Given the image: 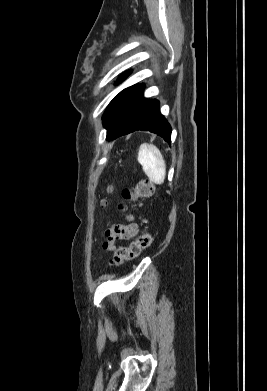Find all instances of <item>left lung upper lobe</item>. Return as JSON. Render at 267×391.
<instances>
[{
  "mask_svg": "<svg viewBox=\"0 0 267 391\" xmlns=\"http://www.w3.org/2000/svg\"><path fill=\"white\" fill-rule=\"evenodd\" d=\"M129 72L124 73L118 80V82L122 81L128 76ZM136 87V85L128 87L120 92L108 105L104 115H103V124L105 128L108 127L117 107L123 101V99Z\"/></svg>",
  "mask_w": 267,
  "mask_h": 391,
  "instance_id": "5c2ea615",
  "label": "left lung upper lobe"
}]
</instances>
